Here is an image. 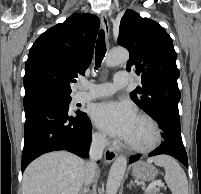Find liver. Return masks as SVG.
I'll return each mask as SVG.
<instances>
[{"label": "liver", "instance_id": "obj_1", "mask_svg": "<svg viewBox=\"0 0 201 194\" xmlns=\"http://www.w3.org/2000/svg\"><path fill=\"white\" fill-rule=\"evenodd\" d=\"M86 168L81 158L66 151L44 154L24 171L22 194H79Z\"/></svg>", "mask_w": 201, "mask_h": 194}]
</instances>
